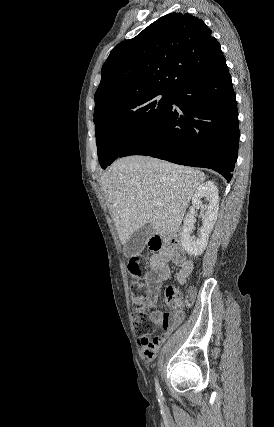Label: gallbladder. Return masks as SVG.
<instances>
[{
	"instance_id": "obj_1",
	"label": "gallbladder",
	"mask_w": 274,
	"mask_h": 427,
	"mask_svg": "<svg viewBox=\"0 0 274 427\" xmlns=\"http://www.w3.org/2000/svg\"><path fill=\"white\" fill-rule=\"evenodd\" d=\"M151 235H153V225L151 223H146L143 227L136 229L123 247L125 257H132V255L141 253Z\"/></svg>"
}]
</instances>
